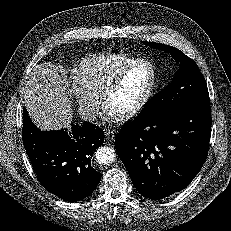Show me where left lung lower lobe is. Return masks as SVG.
<instances>
[{
    "mask_svg": "<svg viewBox=\"0 0 231 231\" xmlns=\"http://www.w3.org/2000/svg\"><path fill=\"white\" fill-rule=\"evenodd\" d=\"M210 135V102H199L154 119L135 118L119 131L115 147L137 191L159 200L199 173Z\"/></svg>",
    "mask_w": 231,
    "mask_h": 231,
    "instance_id": "0a47b994",
    "label": "left lung lower lobe"
}]
</instances>
